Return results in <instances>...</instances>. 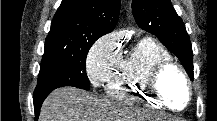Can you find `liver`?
Masks as SVG:
<instances>
[{"mask_svg": "<svg viewBox=\"0 0 217 121\" xmlns=\"http://www.w3.org/2000/svg\"><path fill=\"white\" fill-rule=\"evenodd\" d=\"M141 113L74 88L54 90L44 101L39 121H135Z\"/></svg>", "mask_w": 217, "mask_h": 121, "instance_id": "6515ba94", "label": "liver"}]
</instances>
